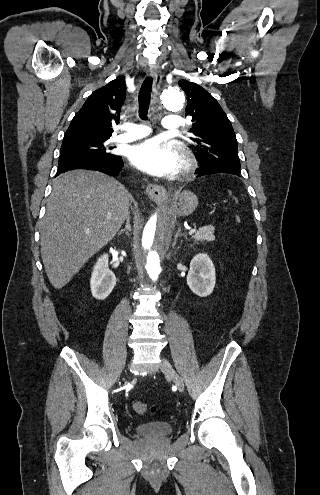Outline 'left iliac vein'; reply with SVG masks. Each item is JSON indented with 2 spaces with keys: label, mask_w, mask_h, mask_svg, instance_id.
Segmentation results:
<instances>
[{
  "label": "left iliac vein",
  "mask_w": 320,
  "mask_h": 495,
  "mask_svg": "<svg viewBox=\"0 0 320 495\" xmlns=\"http://www.w3.org/2000/svg\"><path fill=\"white\" fill-rule=\"evenodd\" d=\"M160 369L165 375H167L173 380L174 384L177 386L179 391L181 392L184 391V382L182 378L173 369L172 365L164 358H162Z\"/></svg>",
  "instance_id": "obj_1"
}]
</instances>
